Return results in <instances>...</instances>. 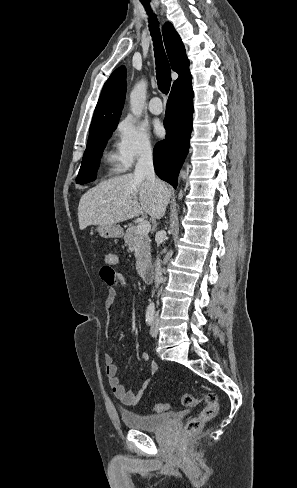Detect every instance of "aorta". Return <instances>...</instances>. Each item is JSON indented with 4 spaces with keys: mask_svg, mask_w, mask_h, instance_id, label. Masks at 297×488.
Listing matches in <instances>:
<instances>
[{
    "mask_svg": "<svg viewBox=\"0 0 297 488\" xmlns=\"http://www.w3.org/2000/svg\"><path fill=\"white\" fill-rule=\"evenodd\" d=\"M147 92V81L139 80L130 93V109L137 118L141 116Z\"/></svg>",
    "mask_w": 297,
    "mask_h": 488,
    "instance_id": "obj_1",
    "label": "aorta"
}]
</instances>
